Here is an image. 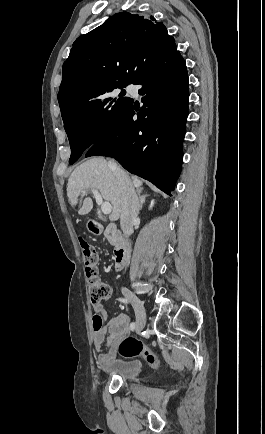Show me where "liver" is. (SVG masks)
I'll use <instances>...</instances> for the list:
<instances>
[{"label":"liver","instance_id":"liver-1","mask_svg":"<svg viewBox=\"0 0 265 434\" xmlns=\"http://www.w3.org/2000/svg\"><path fill=\"white\" fill-rule=\"evenodd\" d=\"M124 174L128 176L127 172H124ZM131 180L137 192H142L143 188L141 186L143 182L137 176H131ZM85 190H98L102 198L112 204V214H110L109 220L111 222L119 220L123 196L119 192L115 170L110 168L109 162L104 158H90V160L73 170L67 184V196L71 206H76L78 196L83 194ZM92 208L93 202L91 198H85L78 214L85 216V214L91 212Z\"/></svg>","mask_w":265,"mask_h":434}]
</instances>
